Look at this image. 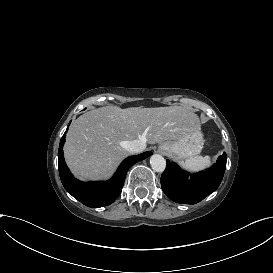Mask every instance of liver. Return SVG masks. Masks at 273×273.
<instances>
[{
  "mask_svg": "<svg viewBox=\"0 0 273 273\" xmlns=\"http://www.w3.org/2000/svg\"><path fill=\"white\" fill-rule=\"evenodd\" d=\"M200 134L199 117L189 107L106 106L84 113L71 124L64 152L80 179L108 178L128 156V141L155 144Z\"/></svg>",
  "mask_w": 273,
  "mask_h": 273,
  "instance_id": "6515ba94",
  "label": "liver"
}]
</instances>
